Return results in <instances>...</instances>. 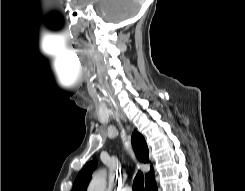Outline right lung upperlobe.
I'll use <instances>...</instances> for the list:
<instances>
[{"mask_svg":"<svg viewBox=\"0 0 245 191\" xmlns=\"http://www.w3.org/2000/svg\"><path fill=\"white\" fill-rule=\"evenodd\" d=\"M132 145L136 156L141 162L147 163L148 160V147L144 140V137L139 133H133L132 135ZM96 165V161L93 160L85 164L83 169L78 173L72 191H86L89 184L92 170ZM154 178V170L151 166L150 172L146 175V183Z\"/></svg>","mask_w":245,"mask_h":191,"instance_id":"cb5924a9","label":"right lung upper lobe"}]
</instances>
